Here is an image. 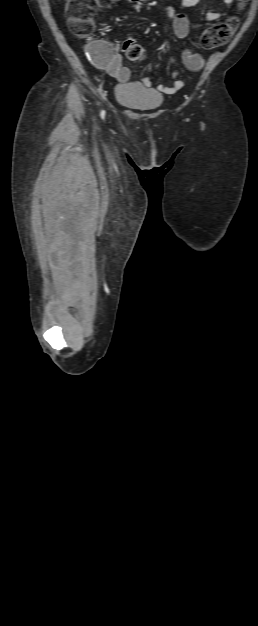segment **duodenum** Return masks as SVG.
<instances>
[{"instance_id": "410a0bca", "label": "duodenum", "mask_w": 258, "mask_h": 626, "mask_svg": "<svg viewBox=\"0 0 258 626\" xmlns=\"http://www.w3.org/2000/svg\"><path fill=\"white\" fill-rule=\"evenodd\" d=\"M128 1L134 2V1H137V0H128ZM141 1H146V0H141Z\"/></svg>"}]
</instances>
